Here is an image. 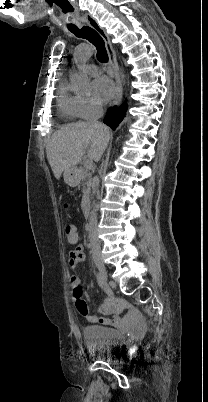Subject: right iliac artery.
<instances>
[{
	"mask_svg": "<svg viewBox=\"0 0 208 402\" xmlns=\"http://www.w3.org/2000/svg\"><path fill=\"white\" fill-rule=\"evenodd\" d=\"M96 277H97V282H98L99 286H100V287H103V286H104V282H103V280H102V278H101V276H100V273H97V274H96Z\"/></svg>",
	"mask_w": 208,
	"mask_h": 402,
	"instance_id": "82829eb1",
	"label": "right iliac artery"
}]
</instances>
